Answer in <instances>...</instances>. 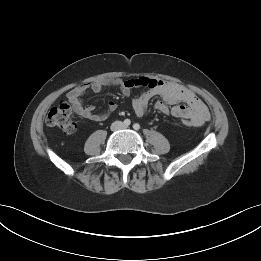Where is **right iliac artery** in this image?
Wrapping results in <instances>:
<instances>
[{
	"mask_svg": "<svg viewBox=\"0 0 261 261\" xmlns=\"http://www.w3.org/2000/svg\"><path fill=\"white\" fill-rule=\"evenodd\" d=\"M131 124V121L129 119L124 120V125L129 126Z\"/></svg>",
	"mask_w": 261,
	"mask_h": 261,
	"instance_id": "right-iliac-artery-1",
	"label": "right iliac artery"
}]
</instances>
